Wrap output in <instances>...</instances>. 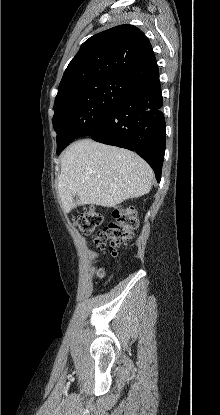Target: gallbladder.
<instances>
[{
	"label": "gallbladder",
	"mask_w": 220,
	"mask_h": 415,
	"mask_svg": "<svg viewBox=\"0 0 220 415\" xmlns=\"http://www.w3.org/2000/svg\"><path fill=\"white\" fill-rule=\"evenodd\" d=\"M73 200H74V202L75 203H77L78 202V198L75 196V197H73Z\"/></svg>",
	"instance_id": "gallbladder-1"
}]
</instances>
